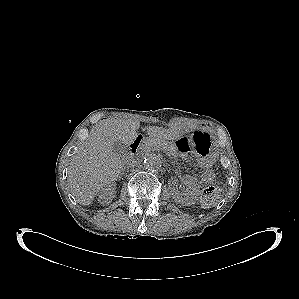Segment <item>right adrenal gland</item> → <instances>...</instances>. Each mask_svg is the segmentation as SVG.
Listing matches in <instances>:
<instances>
[{"label": "right adrenal gland", "mask_w": 299, "mask_h": 299, "mask_svg": "<svg viewBox=\"0 0 299 299\" xmlns=\"http://www.w3.org/2000/svg\"><path fill=\"white\" fill-rule=\"evenodd\" d=\"M123 174H124V170H123V172L121 173L120 177H122Z\"/></svg>", "instance_id": "right-adrenal-gland-1"}]
</instances>
